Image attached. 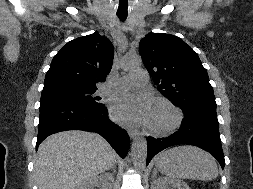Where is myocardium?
Here are the masks:
<instances>
[{
	"instance_id": "f54148a6",
	"label": "myocardium",
	"mask_w": 253,
	"mask_h": 189,
	"mask_svg": "<svg viewBox=\"0 0 253 189\" xmlns=\"http://www.w3.org/2000/svg\"><path fill=\"white\" fill-rule=\"evenodd\" d=\"M155 108H164L170 112V120L162 126L148 125L149 131L157 136H166L176 131L183 121L182 111L168 100L160 99L156 102Z\"/></svg>"
}]
</instances>
